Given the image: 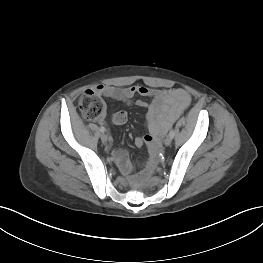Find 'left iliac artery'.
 <instances>
[{"label":"left iliac artery","mask_w":263,"mask_h":263,"mask_svg":"<svg viewBox=\"0 0 263 263\" xmlns=\"http://www.w3.org/2000/svg\"><path fill=\"white\" fill-rule=\"evenodd\" d=\"M169 135L173 138L174 137V135H175V132H174V130H171L170 132H169Z\"/></svg>","instance_id":"44dca946"}]
</instances>
